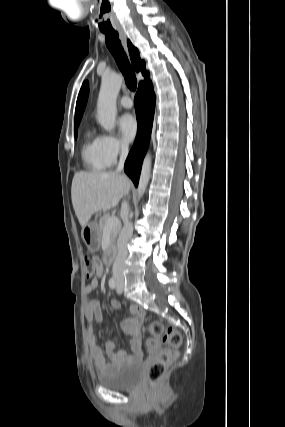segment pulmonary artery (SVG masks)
<instances>
[{"mask_svg":"<svg viewBox=\"0 0 285 427\" xmlns=\"http://www.w3.org/2000/svg\"><path fill=\"white\" fill-rule=\"evenodd\" d=\"M120 106L124 108H131L133 106V101L128 96H123L119 101Z\"/></svg>","mask_w":285,"mask_h":427,"instance_id":"pulmonary-artery-1","label":"pulmonary artery"}]
</instances>
